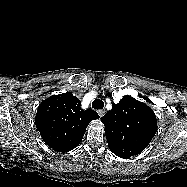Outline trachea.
<instances>
[{"label":"trachea","instance_id":"3493384b","mask_svg":"<svg viewBox=\"0 0 187 187\" xmlns=\"http://www.w3.org/2000/svg\"><path fill=\"white\" fill-rule=\"evenodd\" d=\"M104 107V102L101 99H95L92 102V108L94 109H103Z\"/></svg>","mask_w":187,"mask_h":187}]
</instances>
